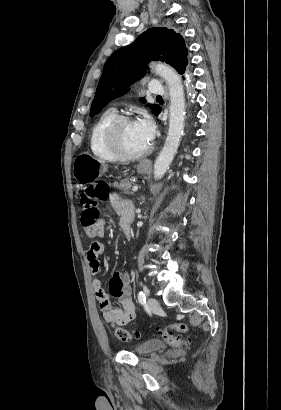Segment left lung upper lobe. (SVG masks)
Segmentation results:
<instances>
[{"label": "left lung upper lobe", "instance_id": "obj_1", "mask_svg": "<svg viewBox=\"0 0 281 410\" xmlns=\"http://www.w3.org/2000/svg\"><path fill=\"white\" fill-rule=\"evenodd\" d=\"M151 60L164 61L179 74H186L187 48L182 36L166 27L150 28L132 44L115 51L104 65L89 115L94 116L111 100L123 95L146 74V65ZM140 100L146 102L143 98ZM150 108L155 114L160 110L158 105H150Z\"/></svg>", "mask_w": 281, "mask_h": 410}]
</instances>
